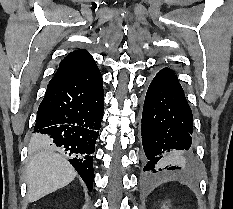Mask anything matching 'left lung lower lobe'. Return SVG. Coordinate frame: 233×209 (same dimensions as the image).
Instances as JSON below:
<instances>
[{
  "label": "left lung lower lobe",
  "instance_id": "1",
  "mask_svg": "<svg viewBox=\"0 0 233 209\" xmlns=\"http://www.w3.org/2000/svg\"><path fill=\"white\" fill-rule=\"evenodd\" d=\"M193 117L184 91L169 68L161 69L147 90L142 113L144 171L175 170L192 162Z\"/></svg>",
  "mask_w": 233,
  "mask_h": 209
}]
</instances>
